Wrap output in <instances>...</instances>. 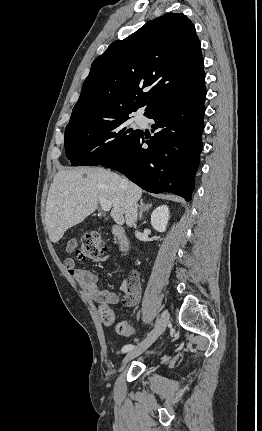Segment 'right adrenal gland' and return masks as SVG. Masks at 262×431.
<instances>
[{
	"label": "right adrenal gland",
	"mask_w": 262,
	"mask_h": 431,
	"mask_svg": "<svg viewBox=\"0 0 262 431\" xmlns=\"http://www.w3.org/2000/svg\"><path fill=\"white\" fill-rule=\"evenodd\" d=\"M152 204H144L143 199L140 200V211L138 214V219L141 220L143 216V212L149 210L151 208Z\"/></svg>",
	"instance_id": "right-adrenal-gland-1"
}]
</instances>
